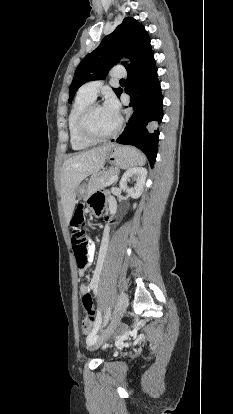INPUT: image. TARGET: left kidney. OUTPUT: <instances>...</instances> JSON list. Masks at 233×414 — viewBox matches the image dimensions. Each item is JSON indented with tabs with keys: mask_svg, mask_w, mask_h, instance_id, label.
I'll list each match as a JSON object with an SVG mask.
<instances>
[{
	"mask_svg": "<svg viewBox=\"0 0 233 414\" xmlns=\"http://www.w3.org/2000/svg\"><path fill=\"white\" fill-rule=\"evenodd\" d=\"M147 176V170L143 167H134L127 170L119 183L120 188L125 191L131 198L137 199L141 196L145 181ZM134 177L136 179V184L134 187L129 188L127 186L130 178ZM136 207V204L133 205V208Z\"/></svg>",
	"mask_w": 233,
	"mask_h": 414,
	"instance_id": "obj_1",
	"label": "left kidney"
}]
</instances>
